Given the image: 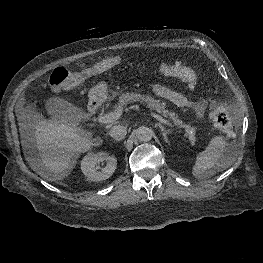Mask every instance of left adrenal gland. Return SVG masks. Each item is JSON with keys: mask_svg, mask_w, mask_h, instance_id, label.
I'll return each instance as SVG.
<instances>
[{"mask_svg": "<svg viewBox=\"0 0 263 263\" xmlns=\"http://www.w3.org/2000/svg\"><path fill=\"white\" fill-rule=\"evenodd\" d=\"M155 126L159 127L161 129L162 132V136L164 138V141L166 143H169L167 135L169 134V130H165V128L163 127V125H161L160 123L156 124Z\"/></svg>", "mask_w": 263, "mask_h": 263, "instance_id": "left-adrenal-gland-1", "label": "left adrenal gland"}]
</instances>
